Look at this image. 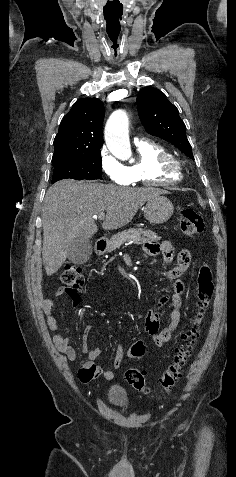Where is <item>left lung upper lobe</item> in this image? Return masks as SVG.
Segmentation results:
<instances>
[{
  "label": "left lung upper lobe",
  "mask_w": 236,
  "mask_h": 477,
  "mask_svg": "<svg viewBox=\"0 0 236 477\" xmlns=\"http://www.w3.org/2000/svg\"><path fill=\"white\" fill-rule=\"evenodd\" d=\"M137 109L140 120L149 134L172 143L194 159L186 137V126L176 106L163 92L153 87L142 89L137 96Z\"/></svg>",
  "instance_id": "1"
}]
</instances>
